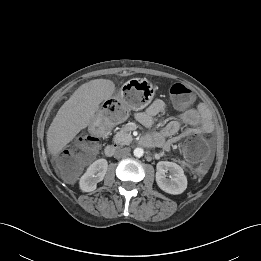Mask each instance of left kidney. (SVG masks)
I'll return each instance as SVG.
<instances>
[{
  "label": "left kidney",
  "mask_w": 261,
  "mask_h": 261,
  "mask_svg": "<svg viewBox=\"0 0 261 261\" xmlns=\"http://www.w3.org/2000/svg\"><path fill=\"white\" fill-rule=\"evenodd\" d=\"M170 172L166 178V172ZM156 182L159 188L166 193L177 195L187 188V178L183 169L174 162L160 161L157 163Z\"/></svg>",
  "instance_id": "1"
}]
</instances>
